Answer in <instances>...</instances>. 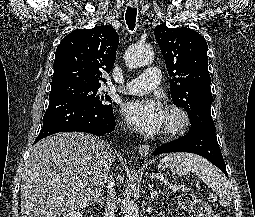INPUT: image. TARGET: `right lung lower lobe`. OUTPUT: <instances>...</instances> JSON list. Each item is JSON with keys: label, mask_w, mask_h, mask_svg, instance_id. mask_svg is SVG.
Listing matches in <instances>:
<instances>
[{"label": "right lung lower lobe", "mask_w": 255, "mask_h": 217, "mask_svg": "<svg viewBox=\"0 0 255 217\" xmlns=\"http://www.w3.org/2000/svg\"><path fill=\"white\" fill-rule=\"evenodd\" d=\"M115 128L113 109H97L68 98L50 99L43 127L34 143L58 132H86L96 136Z\"/></svg>", "instance_id": "obj_1"}]
</instances>
